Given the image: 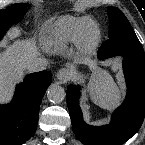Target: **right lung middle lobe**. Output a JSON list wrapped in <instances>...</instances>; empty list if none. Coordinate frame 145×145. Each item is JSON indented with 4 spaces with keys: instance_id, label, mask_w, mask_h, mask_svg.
Listing matches in <instances>:
<instances>
[{
    "instance_id": "obj_1",
    "label": "right lung middle lobe",
    "mask_w": 145,
    "mask_h": 145,
    "mask_svg": "<svg viewBox=\"0 0 145 145\" xmlns=\"http://www.w3.org/2000/svg\"><path fill=\"white\" fill-rule=\"evenodd\" d=\"M26 6V4H14L7 9L0 10V39L11 24L22 18Z\"/></svg>"
}]
</instances>
